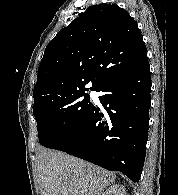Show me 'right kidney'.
Instances as JSON below:
<instances>
[{
    "instance_id": "1",
    "label": "right kidney",
    "mask_w": 178,
    "mask_h": 195,
    "mask_svg": "<svg viewBox=\"0 0 178 195\" xmlns=\"http://www.w3.org/2000/svg\"><path fill=\"white\" fill-rule=\"evenodd\" d=\"M103 195H126V192L124 186L115 184L110 186Z\"/></svg>"
}]
</instances>
